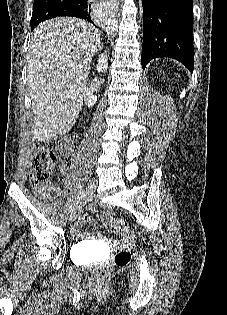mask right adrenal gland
Listing matches in <instances>:
<instances>
[{"mask_svg": "<svg viewBox=\"0 0 227 315\" xmlns=\"http://www.w3.org/2000/svg\"><path fill=\"white\" fill-rule=\"evenodd\" d=\"M98 49H99V50H102V49H103V45H102L101 43H99Z\"/></svg>", "mask_w": 227, "mask_h": 315, "instance_id": "obj_1", "label": "right adrenal gland"}]
</instances>
